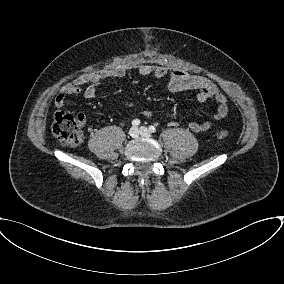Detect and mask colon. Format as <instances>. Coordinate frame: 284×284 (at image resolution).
<instances>
[{
  "label": "colon",
  "mask_w": 284,
  "mask_h": 284,
  "mask_svg": "<svg viewBox=\"0 0 284 284\" xmlns=\"http://www.w3.org/2000/svg\"><path fill=\"white\" fill-rule=\"evenodd\" d=\"M82 121L83 118L81 115L58 111L54 115L52 133L60 142L76 146L83 140V132L81 130ZM217 136L220 139H224L228 136V132L220 130Z\"/></svg>",
  "instance_id": "5ec220e1"
}]
</instances>
